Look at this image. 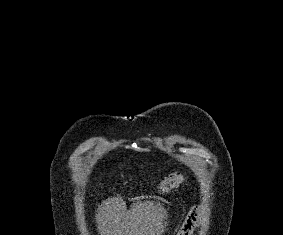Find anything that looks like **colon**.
<instances>
[{
  "label": "colon",
  "mask_w": 283,
  "mask_h": 235,
  "mask_svg": "<svg viewBox=\"0 0 283 235\" xmlns=\"http://www.w3.org/2000/svg\"><path fill=\"white\" fill-rule=\"evenodd\" d=\"M184 180H185V175L183 172L177 171V172L171 173L161 181L158 189L161 193L169 192L173 190L174 188L179 187L183 183ZM189 229L190 228H186L184 225V228L181 230L180 235H187Z\"/></svg>",
  "instance_id": "1"
}]
</instances>
